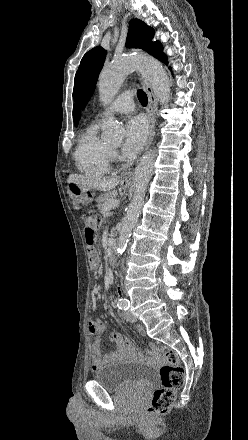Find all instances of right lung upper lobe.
I'll return each mask as SVG.
<instances>
[{"label":"right lung upper lobe","mask_w":248,"mask_h":440,"mask_svg":"<svg viewBox=\"0 0 248 440\" xmlns=\"http://www.w3.org/2000/svg\"><path fill=\"white\" fill-rule=\"evenodd\" d=\"M73 119H74L75 126H77V125H78V121H79V119H80V113H79V110H78L77 107H74V110H73Z\"/></svg>","instance_id":"1"}]
</instances>
